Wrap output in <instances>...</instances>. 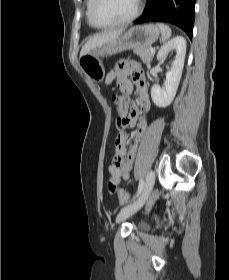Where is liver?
Masks as SVG:
<instances>
[{"label":"liver","mask_w":229,"mask_h":280,"mask_svg":"<svg viewBox=\"0 0 229 280\" xmlns=\"http://www.w3.org/2000/svg\"><path fill=\"white\" fill-rule=\"evenodd\" d=\"M123 31L124 29L110 30L94 35L82 47L80 51V58L89 53L94 48L101 46L102 44L116 37H119L123 33Z\"/></svg>","instance_id":"obj_1"}]
</instances>
